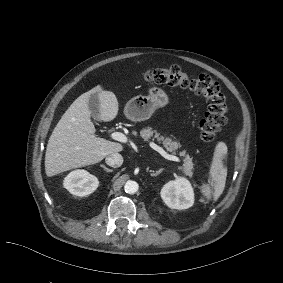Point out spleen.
Wrapping results in <instances>:
<instances>
[{
    "label": "spleen",
    "mask_w": 283,
    "mask_h": 283,
    "mask_svg": "<svg viewBox=\"0 0 283 283\" xmlns=\"http://www.w3.org/2000/svg\"><path fill=\"white\" fill-rule=\"evenodd\" d=\"M224 152H226V146L223 143H220L216 150V158H215V162L212 167L213 171H217V169L220 167L218 157L221 155V153H224ZM225 179H226V171L223 170L218 177V182L216 186V196L220 195L223 192L224 187H225Z\"/></svg>",
    "instance_id": "3e777b00"
}]
</instances>
